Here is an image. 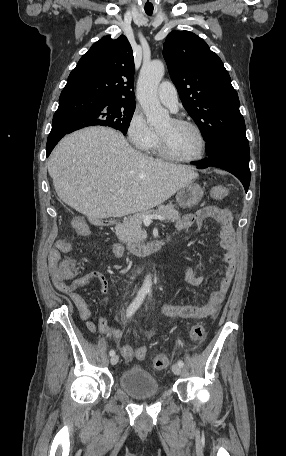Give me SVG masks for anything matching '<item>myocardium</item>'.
I'll use <instances>...</instances> for the list:
<instances>
[{
	"mask_svg": "<svg viewBox=\"0 0 286 456\" xmlns=\"http://www.w3.org/2000/svg\"><path fill=\"white\" fill-rule=\"evenodd\" d=\"M171 120L177 125L190 127L197 133V135L200 139V142H201L200 152L198 155H196L194 157H190V158L177 157L169 152L164 138L162 137V135L160 133L157 132V144H158L159 154L167 160L181 162V163H194V162H198V161L202 160L205 157L206 151H207V139H206V136H205L204 132L202 131V129L196 123H194L190 120H186V119H182V118H172Z\"/></svg>",
	"mask_w": 286,
	"mask_h": 456,
	"instance_id": "myocardium-1",
	"label": "myocardium"
}]
</instances>
